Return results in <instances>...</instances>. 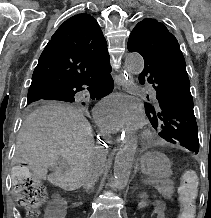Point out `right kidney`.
I'll list each match as a JSON object with an SVG mask.
<instances>
[{"label":"right kidney","instance_id":"ca27d5eb","mask_svg":"<svg viewBox=\"0 0 211 218\" xmlns=\"http://www.w3.org/2000/svg\"><path fill=\"white\" fill-rule=\"evenodd\" d=\"M52 198H61V193H52ZM66 201H48L46 206V218H65L66 217Z\"/></svg>","mask_w":211,"mask_h":218}]
</instances>
